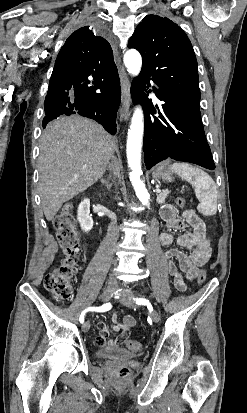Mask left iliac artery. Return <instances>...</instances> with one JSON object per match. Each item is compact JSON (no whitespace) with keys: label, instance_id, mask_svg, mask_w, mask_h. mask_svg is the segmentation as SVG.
I'll list each match as a JSON object with an SVG mask.
<instances>
[{"label":"left iliac artery","instance_id":"1","mask_svg":"<svg viewBox=\"0 0 247 413\" xmlns=\"http://www.w3.org/2000/svg\"><path fill=\"white\" fill-rule=\"evenodd\" d=\"M134 299V301H136V304H138V305H150V303H149V301L147 300V299H144V298H133Z\"/></svg>","mask_w":247,"mask_h":413}]
</instances>
